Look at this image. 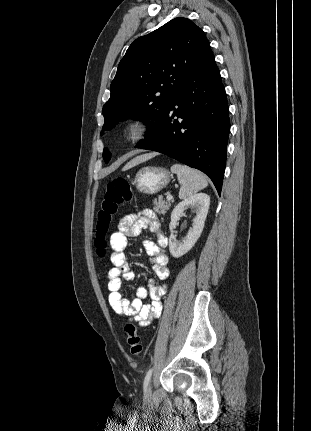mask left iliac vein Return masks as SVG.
<instances>
[{"instance_id": "1", "label": "left iliac vein", "mask_w": 311, "mask_h": 431, "mask_svg": "<svg viewBox=\"0 0 311 431\" xmlns=\"http://www.w3.org/2000/svg\"><path fill=\"white\" fill-rule=\"evenodd\" d=\"M151 396V386H149L145 392V398H149Z\"/></svg>"}]
</instances>
